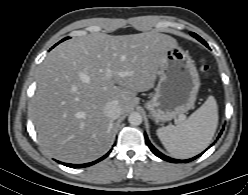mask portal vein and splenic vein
I'll list each match as a JSON object with an SVG mask.
<instances>
[{
  "mask_svg": "<svg viewBox=\"0 0 248 195\" xmlns=\"http://www.w3.org/2000/svg\"><path fill=\"white\" fill-rule=\"evenodd\" d=\"M122 75V74H120ZM107 76H111V71L110 70H107Z\"/></svg>",
  "mask_w": 248,
  "mask_h": 195,
  "instance_id": "obj_1",
  "label": "portal vein and splenic vein"
}]
</instances>
